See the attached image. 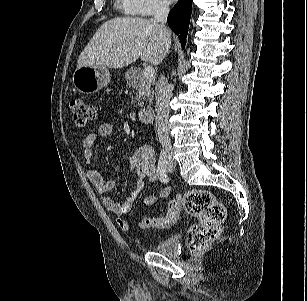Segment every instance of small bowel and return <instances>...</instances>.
<instances>
[{
  "label": "small bowel",
  "mask_w": 307,
  "mask_h": 301,
  "mask_svg": "<svg viewBox=\"0 0 307 301\" xmlns=\"http://www.w3.org/2000/svg\"><path fill=\"white\" fill-rule=\"evenodd\" d=\"M112 133V124L104 122L99 125L96 131L89 132L84 137L82 140L83 159L87 165H91L93 162V147L98 138L109 137L112 135ZM128 162L138 176V184L136 189L123 203H118L109 196V193L115 186V181H105L102 175L93 167H90L87 171L88 179L97 192L101 195L106 209L117 217V224L124 232L130 229V224L129 221L123 216L131 212L136 199L143 189L144 180L155 182L159 179L155 154L152 147L148 145L139 147L132 155L128 157ZM169 195L170 188L169 186L164 185L159 191L158 196L148 195L144 198L143 203L146 207H152L158 197L166 199L169 197Z\"/></svg>",
  "instance_id": "small-bowel-1"
}]
</instances>
